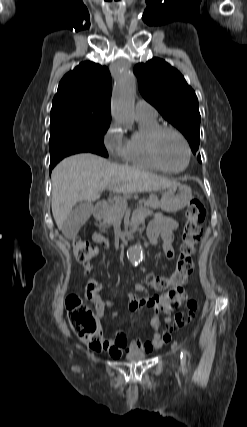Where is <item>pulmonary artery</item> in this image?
<instances>
[{
    "mask_svg": "<svg viewBox=\"0 0 247 427\" xmlns=\"http://www.w3.org/2000/svg\"><path fill=\"white\" fill-rule=\"evenodd\" d=\"M135 115L137 118L141 117H156V109L147 101L140 99L135 106Z\"/></svg>",
    "mask_w": 247,
    "mask_h": 427,
    "instance_id": "obj_1",
    "label": "pulmonary artery"
}]
</instances>
